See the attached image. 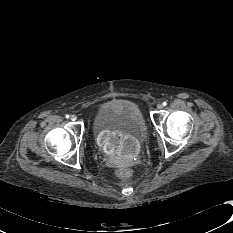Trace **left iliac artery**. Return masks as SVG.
I'll return each instance as SVG.
<instances>
[{"mask_svg":"<svg viewBox=\"0 0 233 233\" xmlns=\"http://www.w3.org/2000/svg\"><path fill=\"white\" fill-rule=\"evenodd\" d=\"M162 104H163V106H166V105H167V102H163Z\"/></svg>","mask_w":233,"mask_h":233,"instance_id":"obj_1","label":"left iliac artery"}]
</instances>
